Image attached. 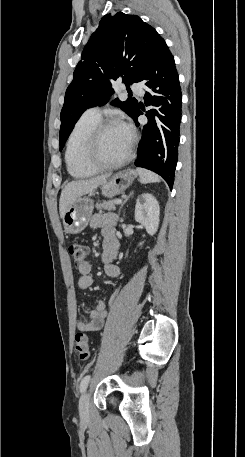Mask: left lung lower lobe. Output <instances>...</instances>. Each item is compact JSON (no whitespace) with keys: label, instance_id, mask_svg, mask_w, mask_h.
I'll list each match as a JSON object with an SVG mask.
<instances>
[{"label":"left lung lower lobe","instance_id":"left-lung-lower-lobe-1","mask_svg":"<svg viewBox=\"0 0 245 457\" xmlns=\"http://www.w3.org/2000/svg\"><path fill=\"white\" fill-rule=\"evenodd\" d=\"M138 82L146 88L144 101L153 106L145 115L148 123L142 127L135 166L147 168L162 176L170 189L178 160L182 95L174 57L164 40L159 41L149 56ZM144 106L140 103L131 117L137 118Z\"/></svg>","mask_w":245,"mask_h":457}]
</instances>
